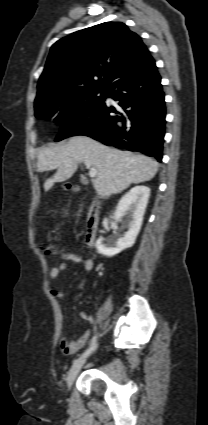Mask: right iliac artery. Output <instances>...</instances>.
<instances>
[{"mask_svg": "<svg viewBox=\"0 0 208 425\" xmlns=\"http://www.w3.org/2000/svg\"><path fill=\"white\" fill-rule=\"evenodd\" d=\"M96 338H97L96 336L92 338L89 348L82 354V357L88 356L90 353H92L96 349L97 347Z\"/></svg>", "mask_w": 208, "mask_h": 425, "instance_id": "1", "label": "right iliac artery"}]
</instances>
